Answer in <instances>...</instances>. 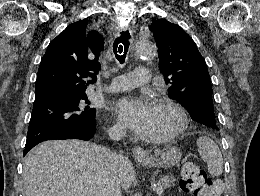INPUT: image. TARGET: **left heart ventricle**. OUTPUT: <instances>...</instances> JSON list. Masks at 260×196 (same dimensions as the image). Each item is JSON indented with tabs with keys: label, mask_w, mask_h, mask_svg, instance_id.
Returning a JSON list of instances; mask_svg holds the SVG:
<instances>
[{
	"label": "left heart ventricle",
	"mask_w": 260,
	"mask_h": 196,
	"mask_svg": "<svg viewBox=\"0 0 260 196\" xmlns=\"http://www.w3.org/2000/svg\"><path fill=\"white\" fill-rule=\"evenodd\" d=\"M175 114L167 107L152 104V116L148 132L152 134L163 132L176 125Z\"/></svg>",
	"instance_id": "obj_1"
}]
</instances>
